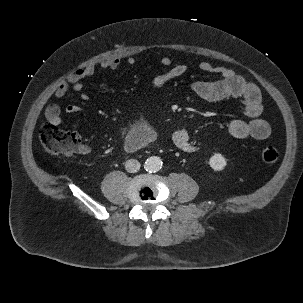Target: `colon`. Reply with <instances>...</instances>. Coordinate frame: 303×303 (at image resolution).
I'll use <instances>...</instances> for the list:
<instances>
[{
  "label": "colon",
  "instance_id": "colon-1",
  "mask_svg": "<svg viewBox=\"0 0 303 303\" xmlns=\"http://www.w3.org/2000/svg\"><path fill=\"white\" fill-rule=\"evenodd\" d=\"M40 141L51 153L60 154L67 158H75L80 152L81 138L75 131H67L50 123H45L40 129ZM266 163L275 162L279 153L273 146H266L261 152Z\"/></svg>",
  "mask_w": 303,
  "mask_h": 303
}]
</instances>
